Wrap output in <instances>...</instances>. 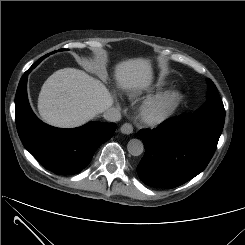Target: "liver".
<instances>
[{"label": "liver", "mask_w": 245, "mask_h": 245, "mask_svg": "<svg viewBox=\"0 0 245 245\" xmlns=\"http://www.w3.org/2000/svg\"><path fill=\"white\" fill-rule=\"evenodd\" d=\"M115 77L122 89L144 90L153 79L150 60L122 61L115 66ZM112 104V96L99 80L75 68L54 72L44 82L38 97L41 118L61 128L81 126Z\"/></svg>", "instance_id": "obj_1"}]
</instances>
